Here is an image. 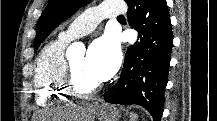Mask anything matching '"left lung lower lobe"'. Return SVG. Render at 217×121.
I'll return each instance as SVG.
<instances>
[{"label":"left lung lower lobe","instance_id":"1","mask_svg":"<svg viewBox=\"0 0 217 121\" xmlns=\"http://www.w3.org/2000/svg\"><path fill=\"white\" fill-rule=\"evenodd\" d=\"M125 1L129 25L139 32V40L128 47L121 76L104 99L114 104L141 105L159 121L173 46L168 6L166 0Z\"/></svg>","mask_w":217,"mask_h":121}]
</instances>
